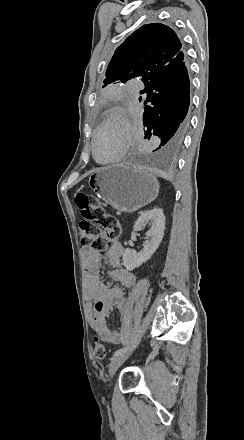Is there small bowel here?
I'll return each mask as SVG.
<instances>
[{
    "instance_id": "small-bowel-1",
    "label": "small bowel",
    "mask_w": 244,
    "mask_h": 440,
    "mask_svg": "<svg viewBox=\"0 0 244 440\" xmlns=\"http://www.w3.org/2000/svg\"><path fill=\"white\" fill-rule=\"evenodd\" d=\"M123 254L122 243L113 241L105 254V260L111 270L103 279L100 275L101 253L90 247L85 248L82 253L87 281L86 299L90 306L88 321L101 339L111 345L119 344L121 334L107 324L106 318L114 309L123 315L131 311L132 306L126 296V290L132 289L136 283L135 275L122 266Z\"/></svg>"
}]
</instances>
